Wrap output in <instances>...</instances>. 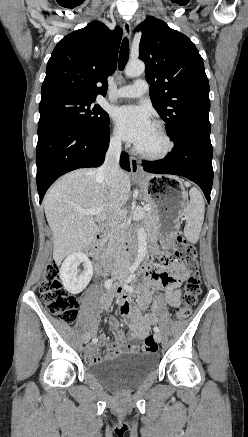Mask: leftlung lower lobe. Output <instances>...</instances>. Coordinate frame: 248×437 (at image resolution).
Here are the masks:
<instances>
[{
	"instance_id": "0a47b994",
	"label": "left lung lower lobe",
	"mask_w": 248,
	"mask_h": 437,
	"mask_svg": "<svg viewBox=\"0 0 248 437\" xmlns=\"http://www.w3.org/2000/svg\"><path fill=\"white\" fill-rule=\"evenodd\" d=\"M173 141L174 149L170 154L155 165H144L143 170L184 176L200 186L209 203L213 182L210 122L187 126Z\"/></svg>"
}]
</instances>
